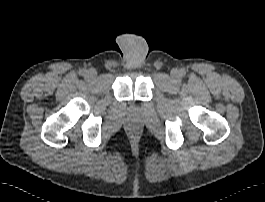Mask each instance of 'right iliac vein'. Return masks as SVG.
<instances>
[{
	"mask_svg": "<svg viewBox=\"0 0 265 202\" xmlns=\"http://www.w3.org/2000/svg\"><path fill=\"white\" fill-rule=\"evenodd\" d=\"M96 79V72L95 71H89V75L87 77L88 81H94Z\"/></svg>",
	"mask_w": 265,
	"mask_h": 202,
	"instance_id": "right-iliac-vein-1",
	"label": "right iliac vein"
}]
</instances>
